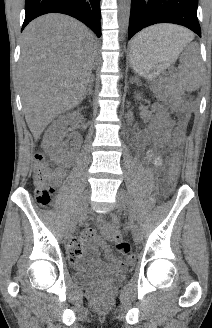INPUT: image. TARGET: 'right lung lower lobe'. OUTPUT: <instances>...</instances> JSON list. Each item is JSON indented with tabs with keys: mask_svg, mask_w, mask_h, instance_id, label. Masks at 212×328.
I'll use <instances>...</instances> for the list:
<instances>
[{
	"mask_svg": "<svg viewBox=\"0 0 212 328\" xmlns=\"http://www.w3.org/2000/svg\"><path fill=\"white\" fill-rule=\"evenodd\" d=\"M63 13L75 17L101 36L100 0H26L22 30L34 18L47 13Z\"/></svg>",
	"mask_w": 212,
	"mask_h": 328,
	"instance_id": "98d812e1",
	"label": "right lung lower lobe"
}]
</instances>
